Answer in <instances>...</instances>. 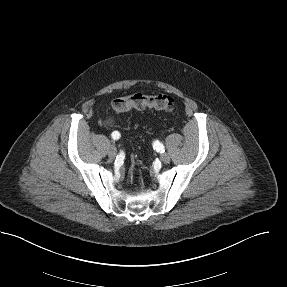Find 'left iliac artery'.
I'll use <instances>...</instances> for the list:
<instances>
[{"mask_svg":"<svg viewBox=\"0 0 287 287\" xmlns=\"http://www.w3.org/2000/svg\"><path fill=\"white\" fill-rule=\"evenodd\" d=\"M153 147L157 152L163 153L165 151L164 145L160 143L158 140L154 141Z\"/></svg>","mask_w":287,"mask_h":287,"instance_id":"1","label":"left iliac artery"}]
</instances>
